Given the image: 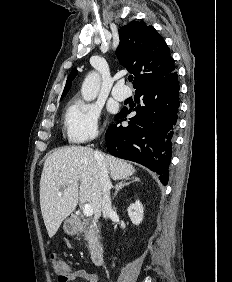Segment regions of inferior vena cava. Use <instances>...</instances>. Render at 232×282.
<instances>
[{
	"label": "inferior vena cava",
	"instance_id": "inferior-vena-cava-1",
	"mask_svg": "<svg viewBox=\"0 0 232 282\" xmlns=\"http://www.w3.org/2000/svg\"><path fill=\"white\" fill-rule=\"evenodd\" d=\"M95 160L97 162L99 178L102 186V200H101V210L104 218H107L112 212L110 189L112 187L111 181L109 179V172L107 169V163L103 156L95 151Z\"/></svg>",
	"mask_w": 232,
	"mask_h": 282
}]
</instances>
